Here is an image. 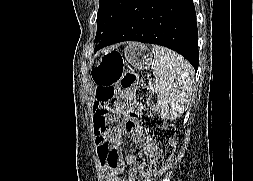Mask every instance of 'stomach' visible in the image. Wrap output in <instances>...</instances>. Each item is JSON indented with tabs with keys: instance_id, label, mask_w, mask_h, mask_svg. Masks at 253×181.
<instances>
[{
	"instance_id": "stomach-1",
	"label": "stomach",
	"mask_w": 253,
	"mask_h": 181,
	"mask_svg": "<svg viewBox=\"0 0 253 181\" xmlns=\"http://www.w3.org/2000/svg\"><path fill=\"white\" fill-rule=\"evenodd\" d=\"M125 59L134 68L144 70L152 64V55L148 52L147 47L138 44L130 43L124 50Z\"/></svg>"
}]
</instances>
